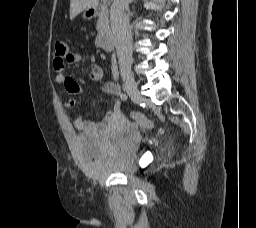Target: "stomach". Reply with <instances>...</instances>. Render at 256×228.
Here are the masks:
<instances>
[{"label": "stomach", "instance_id": "obj_1", "mask_svg": "<svg viewBox=\"0 0 256 228\" xmlns=\"http://www.w3.org/2000/svg\"><path fill=\"white\" fill-rule=\"evenodd\" d=\"M83 17H84L85 19H90V18L92 17V12H91V10H89V9L85 10V11L83 12Z\"/></svg>", "mask_w": 256, "mask_h": 228}]
</instances>
